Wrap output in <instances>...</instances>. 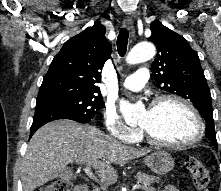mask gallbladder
<instances>
[{
  "instance_id": "obj_1",
  "label": "gallbladder",
  "mask_w": 221,
  "mask_h": 191,
  "mask_svg": "<svg viewBox=\"0 0 221 191\" xmlns=\"http://www.w3.org/2000/svg\"><path fill=\"white\" fill-rule=\"evenodd\" d=\"M72 174V172H71V170L70 169H65L63 172H62V174H61V177H68V176H70Z\"/></svg>"
}]
</instances>
